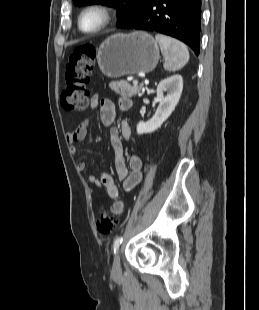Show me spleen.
Instances as JSON below:
<instances>
[{"label": "spleen", "instance_id": "3e777b00", "mask_svg": "<svg viewBox=\"0 0 259 310\" xmlns=\"http://www.w3.org/2000/svg\"><path fill=\"white\" fill-rule=\"evenodd\" d=\"M155 38L165 59L163 65L165 70L177 71L186 65L189 61V51L186 45L162 34H157Z\"/></svg>", "mask_w": 259, "mask_h": 310}]
</instances>
